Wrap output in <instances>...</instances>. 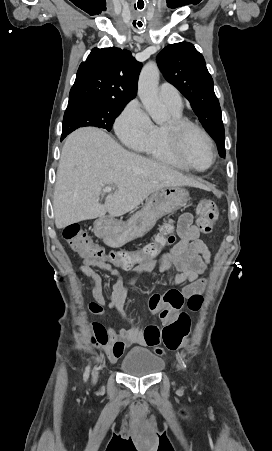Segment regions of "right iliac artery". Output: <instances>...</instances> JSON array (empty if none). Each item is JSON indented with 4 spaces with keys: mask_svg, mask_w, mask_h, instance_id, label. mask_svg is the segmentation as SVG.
Instances as JSON below:
<instances>
[{
    "mask_svg": "<svg viewBox=\"0 0 272 451\" xmlns=\"http://www.w3.org/2000/svg\"><path fill=\"white\" fill-rule=\"evenodd\" d=\"M89 367L86 368L85 373H84V380H86L89 376Z\"/></svg>",
    "mask_w": 272,
    "mask_h": 451,
    "instance_id": "1",
    "label": "right iliac artery"
}]
</instances>
